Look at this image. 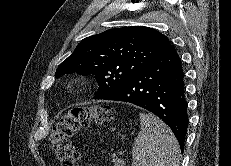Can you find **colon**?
<instances>
[{
  "instance_id": "colon-1",
  "label": "colon",
  "mask_w": 231,
  "mask_h": 166,
  "mask_svg": "<svg viewBox=\"0 0 231 166\" xmlns=\"http://www.w3.org/2000/svg\"><path fill=\"white\" fill-rule=\"evenodd\" d=\"M114 117L109 105H91L75 107L54 124L51 135L53 154L62 166H77L78 153L71 144L72 135L81 128H86L91 122L105 123Z\"/></svg>"
}]
</instances>
